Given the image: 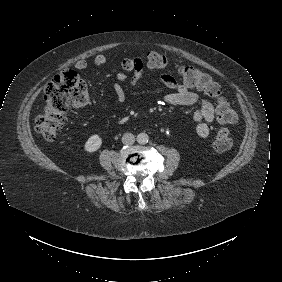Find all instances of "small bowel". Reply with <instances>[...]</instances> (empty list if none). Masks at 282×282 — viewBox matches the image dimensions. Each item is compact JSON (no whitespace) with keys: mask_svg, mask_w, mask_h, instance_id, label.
Segmentation results:
<instances>
[{"mask_svg":"<svg viewBox=\"0 0 282 282\" xmlns=\"http://www.w3.org/2000/svg\"><path fill=\"white\" fill-rule=\"evenodd\" d=\"M93 62L96 66H102L107 62L104 54H97ZM75 67L79 70L88 67L86 59H80L75 63ZM122 71L116 75L113 90L115 93V101L118 105H122L126 100V94L122 84L130 80L132 85H137L141 79L148 75L143 69V64L139 58H124L121 61ZM160 81L170 89V92L164 93L161 101L172 106H193L197 105L193 113V120L196 123V133L202 138H208L210 134L209 123L217 116L215 106L207 99L201 97L198 93L191 91L188 86L178 82L170 74H161ZM202 90L201 88H198Z\"/></svg>","mask_w":282,"mask_h":282,"instance_id":"c3829d8e","label":"small bowel"}]
</instances>
